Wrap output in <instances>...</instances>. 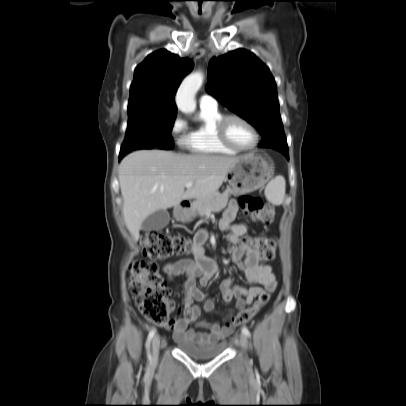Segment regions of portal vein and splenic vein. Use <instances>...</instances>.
<instances>
[{
    "mask_svg": "<svg viewBox=\"0 0 406 406\" xmlns=\"http://www.w3.org/2000/svg\"><path fill=\"white\" fill-rule=\"evenodd\" d=\"M193 182H188V183H186V188H191L192 186H193Z\"/></svg>",
    "mask_w": 406,
    "mask_h": 406,
    "instance_id": "18ae733b",
    "label": "portal vein and splenic vein"
}]
</instances>
